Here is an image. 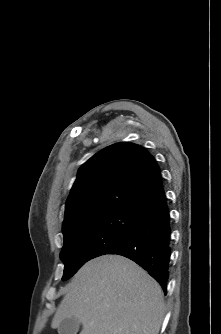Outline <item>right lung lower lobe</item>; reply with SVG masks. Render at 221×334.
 I'll list each match as a JSON object with an SVG mask.
<instances>
[{
  "label": "right lung lower lobe",
  "instance_id": "right-lung-lower-lobe-1",
  "mask_svg": "<svg viewBox=\"0 0 221 334\" xmlns=\"http://www.w3.org/2000/svg\"><path fill=\"white\" fill-rule=\"evenodd\" d=\"M170 215L163 193L140 214L122 240L106 254L125 256L156 279L166 294L170 261Z\"/></svg>",
  "mask_w": 221,
  "mask_h": 334
}]
</instances>
